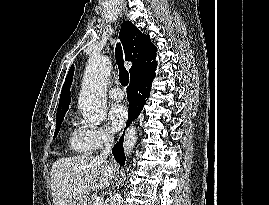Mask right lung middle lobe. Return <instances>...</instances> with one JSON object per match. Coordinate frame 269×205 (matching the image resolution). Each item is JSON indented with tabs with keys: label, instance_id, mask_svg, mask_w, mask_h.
I'll use <instances>...</instances> for the list:
<instances>
[{
	"label": "right lung middle lobe",
	"instance_id": "dd1d6c3e",
	"mask_svg": "<svg viewBox=\"0 0 269 205\" xmlns=\"http://www.w3.org/2000/svg\"><path fill=\"white\" fill-rule=\"evenodd\" d=\"M64 119V116H61V117H58L56 118V130H55V133H54V138L57 136L59 130H60V126H61V123Z\"/></svg>",
	"mask_w": 269,
	"mask_h": 205
}]
</instances>
